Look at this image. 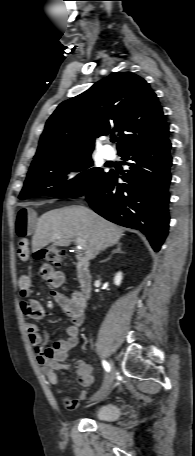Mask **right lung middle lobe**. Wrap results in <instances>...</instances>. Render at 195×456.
I'll return each mask as SVG.
<instances>
[{
	"label": "right lung middle lobe",
	"mask_w": 195,
	"mask_h": 456,
	"mask_svg": "<svg viewBox=\"0 0 195 456\" xmlns=\"http://www.w3.org/2000/svg\"><path fill=\"white\" fill-rule=\"evenodd\" d=\"M91 166L90 155L61 158L31 166L19 198L83 196L107 174ZM70 171L83 172L72 180H66V174Z\"/></svg>",
	"instance_id": "dd1d6c3e"
}]
</instances>
